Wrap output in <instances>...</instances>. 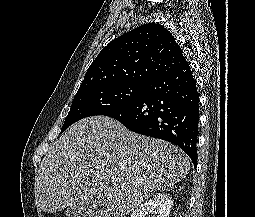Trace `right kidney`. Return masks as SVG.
I'll list each match as a JSON object with an SVG mask.
<instances>
[{"label": "right kidney", "instance_id": "ca27d5eb", "mask_svg": "<svg viewBox=\"0 0 255 217\" xmlns=\"http://www.w3.org/2000/svg\"><path fill=\"white\" fill-rule=\"evenodd\" d=\"M172 204L173 200L169 194L157 193L133 211L131 217H146L150 211H154L157 217H168Z\"/></svg>", "mask_w": 255, "mask_h": 217}]
</instances>
